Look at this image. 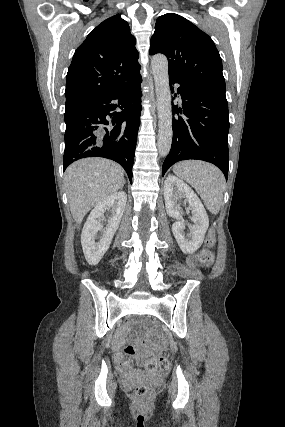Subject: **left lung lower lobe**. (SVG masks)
Instances as JSON below:
<instances>
[{
    "label": "left lung lower lobe",
    "instance_id": "left-lung-lower-lobe-1",
    "mask_svg": "<svg viewBox=\"0 0 285 427\" xmlns=\"http://www.w3.org/2000/svg\"><path fill=\"white\" fill-rule=\"evenodd\" d=\"M174 83L180 85L178 93L183 107L173 106V141L162 166L163 175L178 161L196 159L213 163L227 179L229 118L226 95L170 78V86Z\"/></svg>",
    "mask_w": 285,
    "mask_h": 427
}]
</instances>
